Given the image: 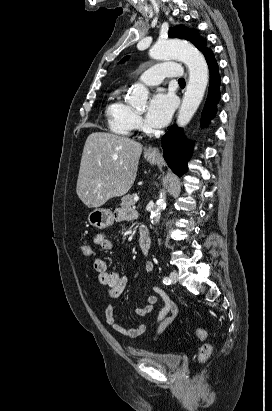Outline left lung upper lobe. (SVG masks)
<instances>
[{
  "mask_svg": "<svg viewBox=\"0 0 272 411\" xmlns=\"http://www.w3.org/2000/svg\"><path fill=\"white\" fill-rule=\"evenodd\" d=\"M170 38L186 39L192 42L205 55L210 49L206 48V39L199 36L196 30H191L183 25H177L169 29ZM128 57L122 60H127Z\"/></svg>",
  "mask_w": 272,
  "mask_h": 411,
  "instance_id": "1",
  "label": "left lung upper lobe"
}]
</instances>
